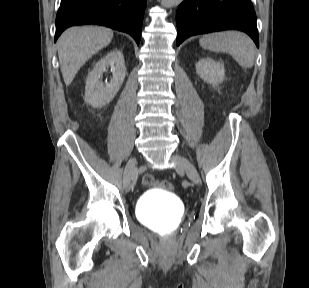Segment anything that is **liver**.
<instances>
[{"mask_svg": "<svg viewBox=\"0 0 309 288\" xmlns=\"http://www.w3.org/2000/svg\"><path fill=\"white\" fill-rule=\"evenodd\" d=\"M112 38L111 29L97 26L71 27L59 37L58 56L66 86L71 84L80 68L107 46Z\"/></svg>", "mask_w": 309, "mask_h": 288, "instance_id": "liver-1", "label": "liver"}]
</instances>
